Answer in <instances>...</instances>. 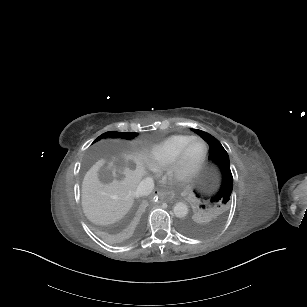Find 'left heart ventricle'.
I'll use <instances>...</instances> for the list:
<instances>
[{
    "instance_id": "1",
    "label": "left heart ventricle",
    "mask_w": 307,
    "mask_h": 307,
    "mask_svg": "<svg viewBox=\"0 0 307 307\" xmlns=\"http://www.w3.org/2000/svg\"><path fill=\"white\" fill-rule=\"evenodd\" d=\"M204 153V145L199 142L195 141L190 144L188 147L186 158H185V167H191L198 163L202 158Z\"/></svg>"
}]
</instances>
